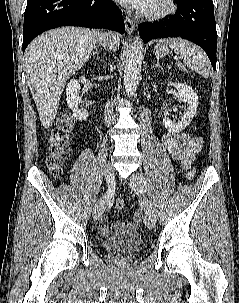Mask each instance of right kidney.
Masks as SVG:
<instances>
[{"instance_id":"ca27d5eb","label":"right kidney","mask_w":239,"mask_h":303,"mask_svg":"<svg viewBox=\"0 0 239 303\" xmlns=\"http://www.w3.org/2000/svg\"><path fill=\"white\" fill-rule=\"evenodd\" d=\"M80 84L76 79H72L66 87V101L69 109L73 112V117L75 120L83 121L89 116L86 109H78V105L81 102V97L79 96Z\"/></svg>"}]
</instances>
